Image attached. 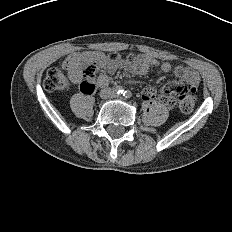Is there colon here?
<instances>
[{
  "label": "colon",
  "mask_w": 232,
  "mask_h": 232,
  "mask_svg": "<svg viewBox=\"0 0 232 232\" xmlns=\"http://www.w3.org/2000/svg\"><path fill=\"white\" fill-rule=\"evenodd\" d=\"M138 58L129 55L121 58L118 54L109 55H92L86 61L83 71V80L80 89L85 94H91L95 89V75L104 69H115L122 64L133 66L137 63ZM67 86V80L59 68H50L44 79V87L48 91L61 90ZM196 88L189 87L185 84L179 85L170 91L163 92L159 95V100L166 105L175 103V96L178 97V104L183 112L192 111L195 105Z\"/></svg>",
  "instance_id": "5ec220e1"
}]
</instances>
